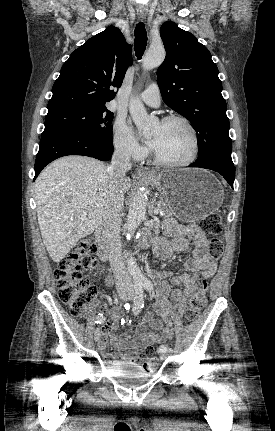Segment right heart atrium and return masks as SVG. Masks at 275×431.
I'll list each match as a JSON object with an SVG mask.
<instances>
[{
  "label": "right heart atrium",
  "instance_id": "right-heart-atrium-1",
  "mask_svg": "<svg viewBox=\"0 0 275 431\" xmlns=\"http://www.w3.org/2000/svg\"><path fill=\"white\" fill-rule=\"evenodd\" d=\"M113 144L116 151L125 158L142 159L147 150L139 144L126 121L119 117L113 127Z\"/></svg>",
  "mask_w": 275,
  "mask_h": 431
}]
</instances>
